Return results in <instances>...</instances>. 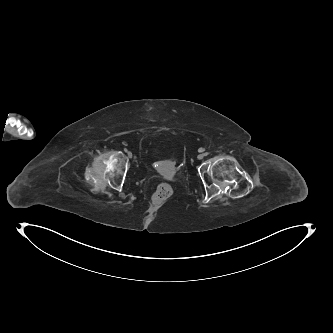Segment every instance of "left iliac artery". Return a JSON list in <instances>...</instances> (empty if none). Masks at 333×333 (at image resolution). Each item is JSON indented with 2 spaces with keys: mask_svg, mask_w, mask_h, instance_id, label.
<instances>
[{
  "mask_svg": "<svg viewBox=\"0 0 333 333\" xmlns=\"http://www.w3.org/2000/svg\"><path fill=\"white\" fill-rule=\"evenodd\" d=\"M208 154H209L208 152H205V153H204V155H206V156H207Z\"/></svg>",
  "mask_w": 333,
  "mask_h": 333,
  "instance_id": "left-iliac-artery-1",
  "label": "left iliac artery"
}]
</instances>
